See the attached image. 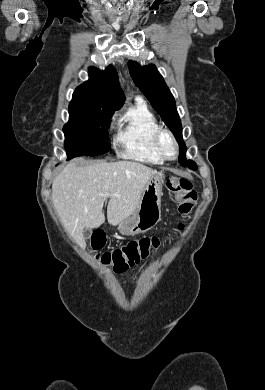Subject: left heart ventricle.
<instances>
[{
    "instance_id": "1",
    "label": "left heart ventricle",
    "mask_w": 265,
    "mask_h": 390,
    "mask_svg": "<svg viewBox=\"0 0 265 390\" xmlns=\"http://www.w3.org/2000/svg\"><path fill=\"white\" fill-rule=\"evenodd\" d=\"M164 146L167 152L171 153L172 152V144L168 139L164 140Z\"/></svg>"
}]
</instances>
